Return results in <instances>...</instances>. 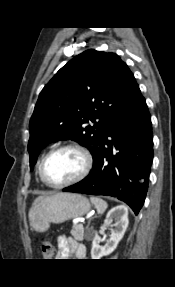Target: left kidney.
Returning <instances> with one entry per match:
<instances>
[{"label":"left kidney","mask_w":175,"mask_h":287,"mask_svg":"<svg viewBox=\"0 0 175 287\" xmlns=\"http://www.w3.org/2000/svg\"><path fill=\"white\" fill-rule=\"evenodd\" d=\"M113 220H115V229H111L110 239L107 243L104 246H100L97 244L96 239L93 240L91 249L92 259H101V257L111 254L116 249L129 224L127 208L122 205L112 208L106 215L104 225L109 226Z\"/></svg>","instance_id":"5707ae66"}]
</instances>
